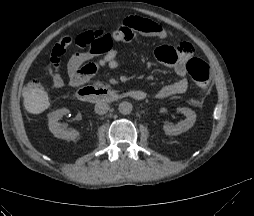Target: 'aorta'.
<instances>
[{
	"label": "aorta",
	"mask_w": 254,
	"mask_h": 216,
	"mask_svg": "<svg viewBox=\"0 0 254 216\" xmlns=\"http://www.w3.org/2000/svg\"><path fill=\"white\" fill-rule=\"evenodd\" d=\"M119 112L123 115H128L132 112L133 106L130 102L123 101L119 104Z\"/></svg>",
	"instance_id": "762f6f07"
}]
</instances>
